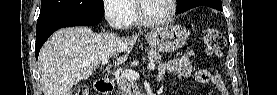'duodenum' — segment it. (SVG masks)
I'll return each mask as SVG.
<instances>
[{
	"mask_svg": "<svg viewBox=\"0 0 277 95\" xmlns=\"http://www.w3.org/2000/svg\"><path fill=\"white\" fill-rule=\"evenodd\" d=\"M96 90L101 94H109L114 88V81L109 79H100L95 83Z\"/></svg>",
	"mask_w": 277,
	"mask_h": 95,
	"instance_id": "410a0bca",
	"label": "duodenum"
}]
</instances>
